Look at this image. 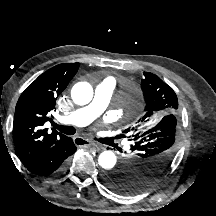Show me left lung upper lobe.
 I'll return each instance as SVG.
<instances>
[{"instance_id": "left-lung-upper-lobe-1", "label": "left lung upper lobe", "mask_w": 216, "mask_h": 216, "mask_svg": "<svg viewBox=\"0 0 216 216\" xmlns=\"http://www.w3.org/2000/svg\"><path fill=\"white\" fill-rule=\"evenodd\" d=\"M144 114L132 129L129 154L105 180L112 190L131 195L160 179L170 167L181 139V107L174 90L158 76L144 72Z\"/></svg>"}]
</instances>
